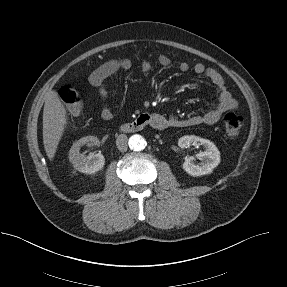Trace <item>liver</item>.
<instances>
[{
    "mask_svg": "<svg viewBox=\"0 0 287 287\" xmlns=\"http://www.w3.org/2000/svg\"><path fill=\"white\" fill-rule=\"evenodd\" d=\"M67 124V112L56 91L45 94L43 110V143L47 157L52 160Z\"/></svg>",
    "mask_w": 287,
    "mask_h": 287,
    "instance_id": "obj_1",
    "label": "liver"
}]
</instances>
